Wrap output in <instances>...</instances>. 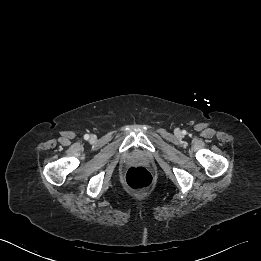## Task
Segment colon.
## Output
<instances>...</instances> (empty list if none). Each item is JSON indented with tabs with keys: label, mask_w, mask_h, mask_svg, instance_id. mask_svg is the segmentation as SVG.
<instances>
[{
	"label": "colon",
	"mask_w": 261,
	"mask_h": 261,
	"mask_svg": "<svg viewBox=\"0 0 261 261\" xmlns=\"http://www.w3.org/2000/svg\"><path fill=\"white\" fill-rule=\"evenodd\" d=\"M153 182L152 174L144 167H132L125 175V185L132 191L148 189Z\"/></svg>",
	"instance_id": "1"
}]
</instances>
